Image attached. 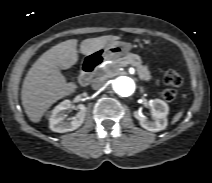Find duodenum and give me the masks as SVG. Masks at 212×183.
<instances>
[{
    "label": "duodenum",
    "instance_id": "obj_1",
    "mask_svg": "<svg viewBox=\"0 0 212 183\" xmlns=\"http://www.w3.org/2000/svg\"><path fill=\"white\" fill-rule=\"evenodd\" d=\"M102 62V57L97 55H90L85 58L82 64L79 82L81 85H86L90 82L92 73L95 68Z\"/></svg>",
    "mask_w": 212,
    "mask_h": 183
}]
</instances>
